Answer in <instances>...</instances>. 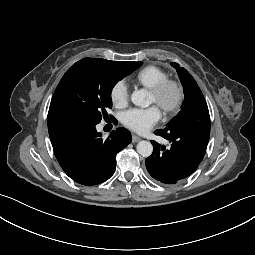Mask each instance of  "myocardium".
Returning a JSON list of instances; mask_svg holds the SVG:
<instances>
[{"mask_svg":"<svg viewBox=\"0 0 255 255\" xmlns=\"http://www.w3.org/2000/svg\"><path fill=\"white\" fill-rule=\"evenodd\" d=\"M168 91H173L174 97L172 101L165 103L162 99ZM150 92L156 96L157 104L168 114L178 110L184 100V89L182 84L173 79H167L159 83L151 88Z\"/></svg>","mask_w":255,"mask_h":255,"instance_id":"myocardium-1","label":"myocardium"}]
</instances>
